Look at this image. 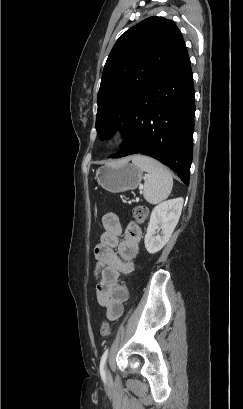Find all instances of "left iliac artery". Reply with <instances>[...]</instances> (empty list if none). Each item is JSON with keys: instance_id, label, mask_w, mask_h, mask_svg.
Listing matches in <instances>:
<instances>
[{"instance_id": "obj_1", "label": "left iliac artery", "mask_w": 243, "mask_h": 409, "mask_svg": "<svg viewBox=\"0 0 243 409\" xmlns=\"http://www.w3.org/2000/svg\"><path fill=\"white\" fill-rule=\"evenodd\" d=\"M107 356H108V348L103 353V355L101 357V361H100V374H101V377H102L103 380L106 379L104 366H105V363H106V360H107Z\"/></svg>"}]
</instances>
